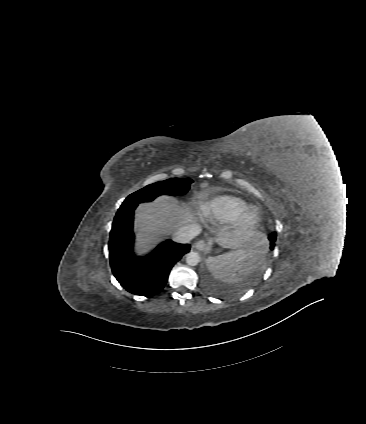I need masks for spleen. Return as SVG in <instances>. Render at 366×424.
<instances>
[{"instance_id":"obj_1","label":"spleen","mask_w":366,"mask_h":424,"mask_svg":"<svg viewBox=\"0 0 366 424\" xmlns=\"http://www.w3.org/2000/svg\"><path fill=\"white\" fill-rule=\"evenodd\" d=\"M259 246H246L238 251L210 257L207 260L208 268L216 278L225 282H238L251 273L255 263L262 258Z\"/></svg>"}]
</instances>
